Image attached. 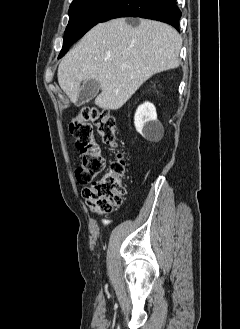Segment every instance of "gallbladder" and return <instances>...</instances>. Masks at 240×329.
<instances>
[{
    "label": "gallbladder",
    "instance_id": "obj_1",
    "mask_svg": "<svg viewBox=\"0 0 240 329\" xmlns=\"http://www.w3.org/2000/svg\"><path fill=\"white\" fill-rule=\"evenodd\" d=\"M99 90L100 84L97 80L89 79L83 82L77 100L78 105H83L84 103H87L88 101L93 99L97 95Z\"/></svg>",
    "mask_w": 240,
    "mask_h": 329
}]
</instances>
